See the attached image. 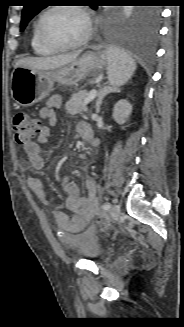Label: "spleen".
Masks as SVG:
<instances>
[{
  "instance_id": "spleen-1",
  "label": "spleen",
  "mask_w": 184,
  "mask_h": 327,
  "mask_svg": "<svg viewBox=\"0 0 184 327\" xmlns=\"http://www.w3.org/2000/svg\"><path fill=\"white\" fill-rule=\"evenodd\" d=\"M108 81L113 86L124 85L134 74L136 63L125 51L110 46L106 50Z\"/></svg>"
}]
</instances>
